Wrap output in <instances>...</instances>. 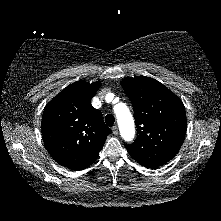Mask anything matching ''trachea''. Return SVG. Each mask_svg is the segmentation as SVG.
Wrapping results in <instances>:
<instances>
[{
	"mask_svg": "<svg viewBox=\"0 0 221 221\" xmlns=\"http://www.w3.org/2000/svg\"><path fill=\"white\" fill-rule=\"evenodd\" d=\"M105 122L109 127H112L114 125L115 122V118L112 114H108L105 117Z\"/></svg>",
	"mask_w": 221,
	"mask_h": 221,
	"instance_id": "trachea-1",
	"label": "trachea"
}]
</instances>
